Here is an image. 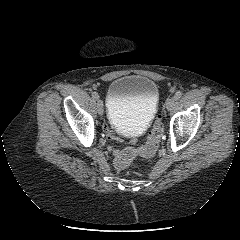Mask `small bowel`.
Returning a JSON list of instances; mask_svg holds the SVG:
<instances>
[{"label": "small bowel", "mask_w": 240, "mask_h": 240, "mask_svg": "<svg viewBox=\"0 0 240 240\" xmlns=\"http://www.w3.org/2000/svg\"><path fill=\"white\" fill-rule=\"evenodd\" d=\"M100 125L102 126L103 133L109 140L115 143H119L120 145H124L126 143V140L124 138L118 137L117 135L111 133L109 127L107 126V120L105 118H102L100 120ZM130 144L132 146H137L139 144V139L137 137H132L130 139ZM109 151L115 156H117L121 152L114 147H109Z\"/></svg>", "instance_id": "1"}]
</instances>
